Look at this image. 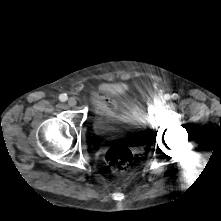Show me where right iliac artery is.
Instances as JSON below:
<instances>
[{
  "instance_id": "1",
  "label": "right iliac artery",
  "mask_w": 221,
  "mask_h": 221,
  "mask_svg": "<svg viewBox=\"0 0 221 221\" xmlns=\"http://www.w3.org/2000/svg\"><path fill=\"white\" fill-rule=\"evenodd\" d=\"M68 99L67 95L64 93V94H61L59 96V100L62 101V102H65L66 100Z\"/></svg>"
}]
</instances>
